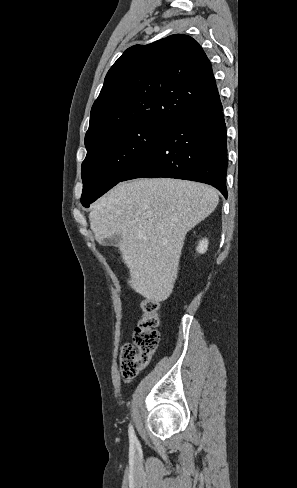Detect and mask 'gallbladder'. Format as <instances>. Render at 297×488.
I'll return each instance as SVG.
<instances>
[{"label":"gallbladder","mask_w":297,"mask_h":488,"mask_svg":"<svg viewBox=\"0 0 297 488\" xmlns=\"http://www.w3.org/2000/svg\"><path fill=\"white\" fill-rule=\"evenodd\" d=\"M121 240V236L114 235L113 237L106 239L104 245H117Z\"/></svg>","instance_id":"bac80fb5"}]
</instances>
